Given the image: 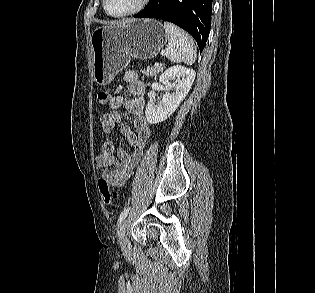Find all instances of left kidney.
I'll list each match as a JSON object with an SVG mask.
<instances>
[{
  "mask_svg": "<svg viewBox=\"0 0 315 293\" xmlns=\"http://www.w3.org/2000/svg\"><path fill=\"white\" fill-rule=\"evenodd\" d=\"M195 75L193 69L175 65L159 77V82L167 94L159 104H155L153 100L147 103L145 115L149 124L163 122L175 112L190 91ZM170 90H173V93H169Z\"/></svg>",
  "mask_w": 315,
  "mask_h": 293,
  "instance_id": "left-kidney-1",
  "label": "left kidney"
}]
</instances>
